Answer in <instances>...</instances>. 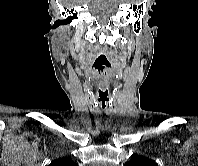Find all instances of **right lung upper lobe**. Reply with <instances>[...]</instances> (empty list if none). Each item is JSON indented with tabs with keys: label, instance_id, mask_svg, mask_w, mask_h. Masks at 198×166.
<instances>
[{
	"label": "right lung upper lobe",
	"instance_id": "cb5924a9",
	"mask_svg": "<svg viewBox=\"0 0 198 166\" xmlns=\"http://www.w3.org/2000/svg\"><path fill=\"white\" fill-rule=\"evenodd\" d=\"M48 166H77V164L65 157L52 161Z\"/></svg>",
	"mask_w": 198,
	"mask_h": 166
}]
</instances>
